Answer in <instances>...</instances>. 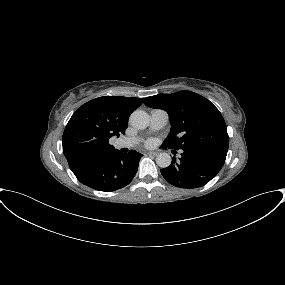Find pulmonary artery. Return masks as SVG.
I'll return each instance as SVG.
<instances>
[{
	"label": "pulmonary artery",
	"mask_w": 285,
	"mask_h": 285,
	"mask_svg": "<svg viewBox=\"0 0 285 285\" xmlns=\"http://www.w3.org/2000/svg\"><path fill=\"white\" fill-rule=\"evenodd\" d=\"M169 120L168 113L163 109H154L150 112V126L151 132L158 131L166 126ZM139 142L138 137H124L116 141L117 148H132Z\"/></svg>",
	"instance_id": "1"
}]
</instances>
